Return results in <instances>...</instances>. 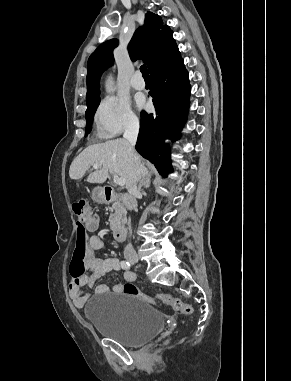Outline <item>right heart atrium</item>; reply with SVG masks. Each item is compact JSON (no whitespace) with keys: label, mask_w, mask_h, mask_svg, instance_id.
<instances>
[{"label":"right heart atrium","mask_w":291,"mask_h":381,"mask_svg":"<svg viewBox=\"0 0 291 381\" xmlns=\"http://www.w3.org/2000/svg\"><path fill=\"white\" fill-rule=\"evenodd\" d=\"M95 124L99 135L112 138L124 131L135 130L139 120L133 112L128 100L107 96L99 103L95 116Z\"/></svg>","instance_id":"1"}]
</instances>
